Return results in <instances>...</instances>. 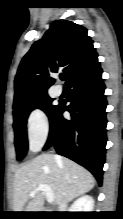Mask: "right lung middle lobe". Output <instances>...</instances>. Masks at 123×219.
<instances>
[{"mask_svg": "<svg viewBox=\"0 0 123 219\" xmlns=\"http://www.w3.org/2000/svg\"><path fill=\"white\" fill-rule=\"evenodd\" d=\"M53 99L48 94H43L13 106L15 148L17 160H22L28 150V140L26 132L27 118L30 112L36 108L43 110L49 119L53 116L58 105L52 104Z\"/></svg>", "mask_w": 123, "mask_h": 219, "instance_id": "right-lung-middle-lobe-1", "label": "right lung middle lobe"}]
</instances>
